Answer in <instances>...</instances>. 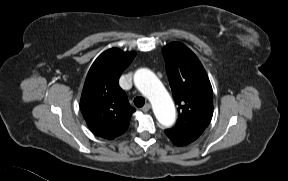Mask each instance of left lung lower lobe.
Here are the masks:
<instances>
[{
  "instance_id": "0a47b994",
  "label": "left lung lower lobe",
  "mask_w": 288,
  "mask_h": 181,
  "mask_svg": "<svg viewBox=\"0 0 288 181\" xmlns=\"http://www.w3.org/2000/svg\"><path fill=\"white\" fill-rule=\"evenodd\" d=\"M164 132L170 138V140L177 146L188 145L191 142L195 141L200 136V135L177 134L167 130H165Z\"/></svg>"
}]
</instances>
